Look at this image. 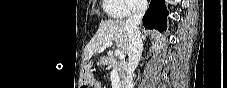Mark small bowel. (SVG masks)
<instances>
[{
    "label": "small bowel",
    "instance_id": "c3829d8e",
    "mask_svg": "<svg viewBox=\"0 0 227 88\" xmlns=\"http://www.w3.org/2000/svg\"><path fill=\"white\" fill-rule=\"evenodd\" d=\"M94 87H95V88H103V86H102L100 83H95V84H94Z\"/></svg>",
    "mask_w": 227,
    "mask_h": 88
}]
</instances>
